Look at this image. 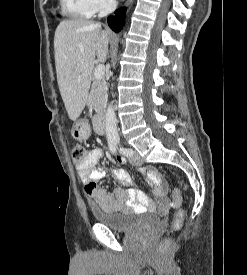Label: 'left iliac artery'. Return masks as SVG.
Wrapping results in <instances>:
<instances>
[{
	"label": "left iliac artery",
	"instance_id": "44dca946",
	"mask_svg": "<svg viewBox=\"0 0 247 275\" xmlns=\"http://www.w3.org/2000/svg\"><path fill=\"white\" fill-rule=\"evenodd\" d=\"M120 153L123 154L124 156H131L132 155V150L131 149H126V148H120Z\"/></svg>",
	"mask_w": 247,
	"mask_h": 275
}]
</instances>
